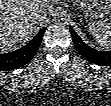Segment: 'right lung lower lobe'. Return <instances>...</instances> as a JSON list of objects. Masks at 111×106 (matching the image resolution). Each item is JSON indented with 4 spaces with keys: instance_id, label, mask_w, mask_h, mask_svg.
<instances>
[{
    "instance_id": "1",
    "label": "right lung lower lobe",
    "mask_w": 111,
    "mask_h": 106,
    "mask_svg": "<svg viewBox=\"0 0 111 106\" xmlns=\"http://www.w3.org/2000/svg\"><path fill=\"white\" fill-rule=\"evenodd\" d=\"M46 28H43L26 46L0 54V70H12L27 64L35 55L42 41Z\"/></svg>"
}]
</instances>
